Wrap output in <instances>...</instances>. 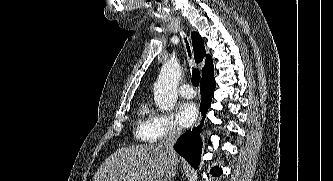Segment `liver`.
<instances>
[{
  "instance_id": "obj_1",
  "label": "liver",
  "mask_w": 333,
  "mask_h": 181,
  "mask_svg": "<svg viewBox=\"0 0 333 181\" xmlns=\"http://www.w3.org/2000/svg\"><path fill=\"white\" fill-rule=\"evenodd\" d=\"M169 166L161 144L120 148L101 164L93 181H166Z\"/></svg>"
}]
</instances>
